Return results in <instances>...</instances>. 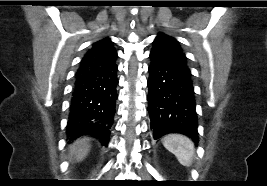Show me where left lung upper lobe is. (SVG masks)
Instances as JSON below:
<instances>
[{
  "instance_id": "1",
  "label": "left lung upper lobe",
  "mask_w": 267,
  "mask_h": 186,
  "mask_svg": "<svg viewBox=\"0 0 267 186\" xmlns=\"http://www.w3.org/2000/svg\"><path fill=\"white\" fill-rule=\"evenodd\" d=\"M150 54L172 66L190 73V69L187 65V58L178 41L173 37L159 33L153 42V48Z\"/></svg>"
}]
</instances>
